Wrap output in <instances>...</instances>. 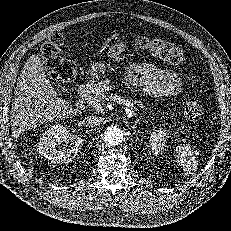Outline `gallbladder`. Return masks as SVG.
<instances>
[{
  "instance_id": "obj_1",
  "label": "gallbladder",
  "mask_w": 231,
  "mask_h": 231,
  "mask_svg": "<svg viewBox=\"0 0 231 231\" xmlns=\"http://www.w3.org/2000/svg\"><path fill=\"white\" fill-rule=\"evenodd\" d=\"M46 71H47V76H49L51 79H53V78L51 77V72H48V70H46ZM53 73H54V72H53ZM55 84L58 86L57 90L61 91L62 93H69V91H68L67 88H65V87H60V85H59V83H58L57 80H56V83H55Z\"/></svg>"
}]
</instances>
